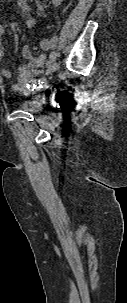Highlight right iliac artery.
<instances>
[{
    "instance_id": "82829eb1",
    "label": "right iliac artery",
    "mask_w": 127,
    "mask_h": 303,
    "mask_svg": "<svg viewBox=\"0 0 127 303\" xmlns=\"http://www.w3.org/2000/svg\"><path fill=\"white\" fill-rule=\"evenodd\" d=\"M56 53L54 52V51H52L51 53H50V55H49V60H48V62H47V65L49 66V65H51L53 62H54V60L56 59Z\"/></svg>"
}]
</instances>
